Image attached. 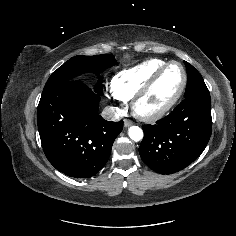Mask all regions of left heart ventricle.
<instances>
[{
  "label": "left heart ventricle",
  "mask_w": 236,
  "mask_h": 236,
  "mask_svg": "<svg viewBox=\"0 0 236 236\" xmlns=\"http://www.w3.org/2000/svg\"><path fill=\"white\" fill-rule=\"evenodd\" d=\"M183 74L179 66L171 65L160 77L149 94L139 103L143 112H154L165 106L177 93Z\"/></svg>",
  "instance_id": "b2bd125f"
}]
</instances>
